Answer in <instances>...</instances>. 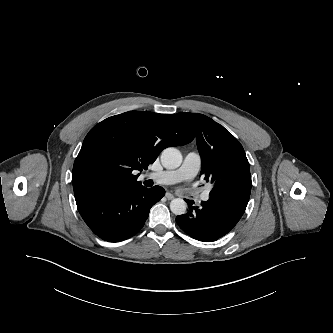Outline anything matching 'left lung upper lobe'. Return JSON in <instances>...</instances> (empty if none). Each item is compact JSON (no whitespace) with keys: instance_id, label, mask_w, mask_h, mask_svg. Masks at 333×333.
Instances as JSON below:
<instances>
[{"instance_id":"1","label":"left lung upper lobe","mask_w":333,"mask_h":333,"mask_svg":"<svg viewBox=\"0 0 333 333\" xmlns=\"http://www.w3.org/2000/svg\"><path fill=\"white\" fill-rule=\"evenodd\" d=\"M194 130L202 159L201 175L215 187L235 174L249 171V162L239 141L222 125L198 113H178Z\"/></svg>"}]
</instances>
